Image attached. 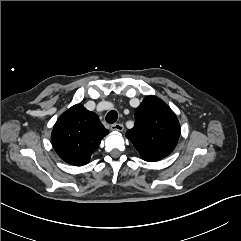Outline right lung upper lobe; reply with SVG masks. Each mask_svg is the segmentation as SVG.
Here are the masks:
<instances>
[{
  "mask_svg": "<svg viewBox=\"0 0 241 241\" xmlns=\"http://www.w3.org/2000/svg\"><path fill=\"white\" fill-rule=\"evenodd\" d=\"M107 134L108 130L98 116L77 104L59 117L51 138L61 159L71 165L82 166L88 163Z\"/></svg>",
  "mask_w": 241,
  "mask_h": 241,
  "instance_id": "obj_1",
  "label": "right lung upper lobe"
}]
</instances>
